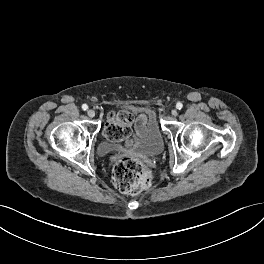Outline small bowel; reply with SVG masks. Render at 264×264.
<instances>
[{
	"mask_svg": "<svg viewBox=\"0 0 264 264\" xmlns=\"http://www.w3.org/2000/svg\"><path fill=\"white\" fill-rule=\"evenodd\" d=\"M146 124H147L146 115L145 114H140L136 119H133L132 120V123H131V126L130 127L133 126L134 129H135V131L139 135H141V134H143L145 132ZM129 135H130V133H129ZM129 135L125 138L127 144L130 143Z\"/></svg>",
	"mask_w": 264,
	"mask_h": 264,
	"instance_id": "c3829d8e",
	"label": "small bowel"
}]
</instances>
